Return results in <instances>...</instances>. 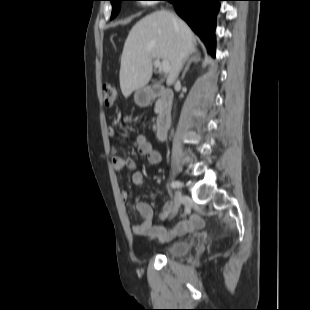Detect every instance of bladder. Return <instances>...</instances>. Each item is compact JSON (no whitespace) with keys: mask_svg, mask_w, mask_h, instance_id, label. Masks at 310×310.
Returning <instances> with one entry per match:
<instances>
[{"mask_svg":"<svg viewBox=\"0 0 310 310\" xmlns=\"http://www.w3.org/2000/svg\"><path fill=\"white\" fill-rule=\"evenodd\" d=\"M192 249L188 240H177L162 249V255L167 258H181L187 255Z\"/></svg>","mask_w":310,"mask_h":310,"instance_id":"31cf9c89","label":"bladder"}]
</instances>
